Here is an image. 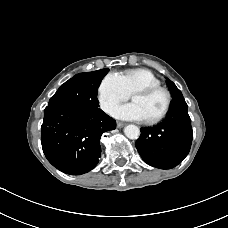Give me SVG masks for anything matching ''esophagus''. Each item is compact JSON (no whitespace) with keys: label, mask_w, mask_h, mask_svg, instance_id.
I'll list each match as a JSON object with an SVG mask.
<instances>
[{"label":"esophagus","mask_w":228,"mask_h":228,"mask_svg":"<svg viewBox=\"0 0 228 228\" xmlns=\"http://www.w3.org/2000/svg\"><path fill=\"white\" fill-rule=\"evenodd\" d=\"M124 125H125V124L122 123V122H117V127H118V128H122Z\"/></svg>","instance_id":"esophagus-1"}]
</instances>
